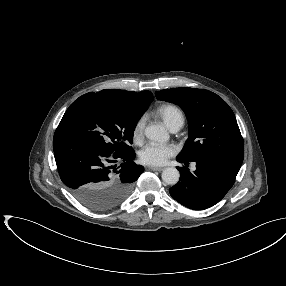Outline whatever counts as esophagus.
Returning <instances> with one entry per match:
<instances>
[{
    "mask_svg": "<svg viewBox=\"0 0 286 286\" xmlns=\"http://www.w3.org/2000/svg\"><path fill=\"white\" fill-rule=\"evenodd\" d=\"M149 170H152V171H163L164 170V167H154V166H150L148 167Z\"/></svg>",
    "mask_w": 286,
    "mask_h": 286,
    "instance_id": "1",
    "label": "esophagus"
}]
</instances>
